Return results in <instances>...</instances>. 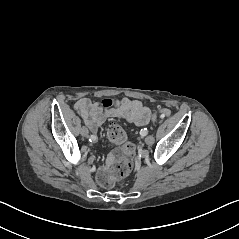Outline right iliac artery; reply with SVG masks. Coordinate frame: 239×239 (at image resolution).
Returning a JSON list of instances; mask_svg holds the SVG:
<instances>
[{"label":"right iliac artery","instance_id":"obj_1","mask_svg":"<svg viewBox=\"0 0 239 239\" xmlns=\"http://www.w3.org/2000/svg\"><path fill=\"white\" fill-rule=\"evenodd\" d=\"M90 141L91 142H96L97 141V136L96 135H91Z\"/></svg>","mask_w":239,"mask_h":239}]
</instances>
